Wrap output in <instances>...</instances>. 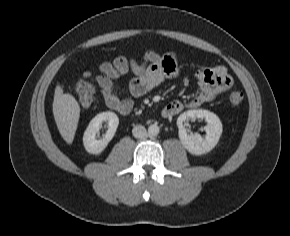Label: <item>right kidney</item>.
Wrapping results in <instances>:
<instances>
[{
    "label": "right kidney",
    "instance_id": "ca27d5eb",
    "mask_svg": "<svg viewBox=\"0 0 290 236\" xmlns=\"http://www.w3.org/2000/svg\"><path fill=\"white\" fill-rule=\"evenodd\" d=\"M103 122H108V130L102 138L97 139L96 134ZM118 124L119 118L114 112L107 111L97 114L90 121L83 135V144L86 151L95 155L102 153L114 137Z\"/></svg>",
    "mask_w": 290,
    "mask_h": 236
}]
</instances>
